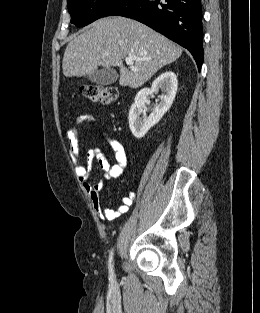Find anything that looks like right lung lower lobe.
I'll return each mask as SVG.
<instances>
[{"label":"right lung lower lobe","instance_id":"obj_1","mask_svg":"<svg viewBox=\"0 0 260 313\" xmlns=\"http://www.w3.org/2000/svg\"><path fill=\"white\" fill-rule=\"evenodd\" d=\"M106 16L132 18L160 32L188 49L200 70L204 58L201 0H121Z\"/></svg>","mask_w":260,"mask_h":313}]
</instances>
